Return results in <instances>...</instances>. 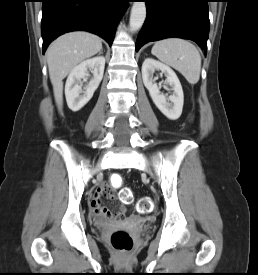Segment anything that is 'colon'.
<instances>
[{
    "label": "colon",
    "mask_w": 258,
    "mask_h": 275,
    "mask_svg": "<svg viewBox=\"0 0 258 275\" xmlns=\"http://www.w3.org/2000/svg\"><path fill=\"white\" fill-rule=\"evenodd\" d=\"M123 183V178L120 175H113L111 177V184L114 187H120ZM119 197L122 202L128 203L132 201V193L129 189H121ZM152 209V202L149 198L143 197L140 199L137 205V211L139 213H148ZM114 219L120 218L118 213L113 214ZM111 245L118 251L129 252L134 246V241L129 232L125 230H116L110 237Z\"/></svg>",
    "instance_id": "obj_1"
}]
</instances>
